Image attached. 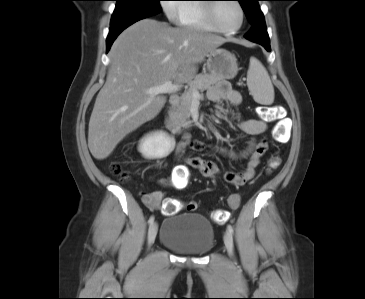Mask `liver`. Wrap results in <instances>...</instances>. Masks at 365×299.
<instances>
[{
    "instance_id": "liver-1",
    "label": "liver",
    "mask_w": 365,
    "mask_h": 299,
    "mask_svg": "<svg viewBox=\"0 0 365 299\" xmlns=\"http://www.w3.org/2000/svg\"><path fill=\"white\" fill-rule=\"evenodd\" d=\"M228 39L192 27H171L141 20L123 31L110 53L106 82L97 95L89 121L88 147L98 160L142 124L155 118L166 103L146 93L167 81L189 83L210 51Z\"/></svg>"
}]
</instances>
